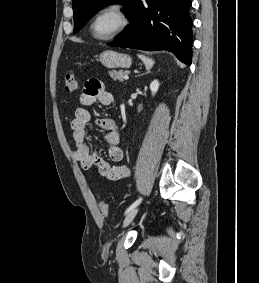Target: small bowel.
Returning <instances> with one entry per match:
<instances>
[{
  "label": "small bowel",
  "mask_w": 259,
  "mask_h": 283,
  "mask_svg": "<svg viewBox=\"0 0 259 283\" xmlns=\"http://www.w3.org/2000/svg\"><path fill=\"white\" fill-rule=\"evenodd\" d=\"M79 102L81 106L76 108L70 124L75 142L74 159L80 163L84 170L95 168L99 176L110 181H118L128 177L130 175L129 168L120 163L124 158V152L120 147V133L114 119L101 118L96 121L98 127L105 131L104 140L107 144L108 157L114 164L102 159L96 153H92L86 138L87 125L91 121V114L87 107L96 102L104 106L113 105L114 97L105 90L101 82L90 79L84 85Z\"/></svg>",
  "instance_id": "c3829d8e"
}]
</instances>
